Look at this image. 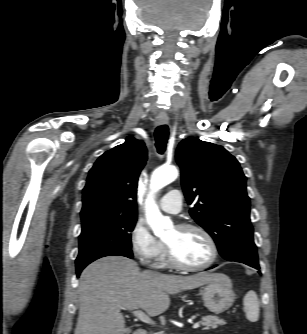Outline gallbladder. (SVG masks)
Instances as JSON below:
<instances>
[{
  "label": "gallbladder",
  "instance_id": "obj_1",
  "mask_svg": "<svg viewBox=\"0 0 307 334\" xmlns=\"http://www.w3.org/2000/svg\"><path fill=\"white\" fill-rule=\"evenodd\" d=\"M129 331H130V328L127 329V332H129Z\"/></svg>",
  "mask_w": 307,
  "mask_h": 334
}]
</instances>
